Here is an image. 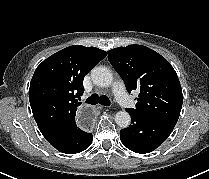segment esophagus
I'll return each mask as SVG.
<instances>
[{
  "mask_svg": "<svg viewBox=\"0 0 209 179\" xmlns=\"http://www.w3.org/2000/svg\"><path fill=\"white\" fill-rule=\"evenodd\" d=\"M96 109L93 106H82L78 112V125L84 131H91L95 127Z\"/></svg>",
  "mask_w": 209,
  "mask_h": 179,
  "instance_id": "34e87169",
  "label": "esophagus"
}]
</instances>
